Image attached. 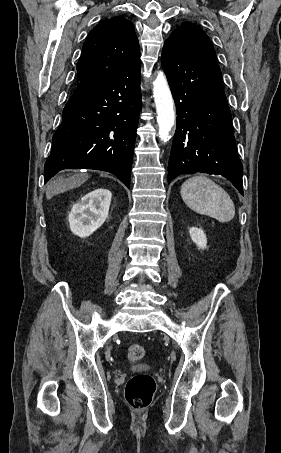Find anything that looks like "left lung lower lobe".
Segmentation results:
<instances>
[{"label":"left lung lower lobe","instance_id":"left-lung-lower-lobe-1","mask_svg":"<svg viewBox=\"0 0 281 453\" xmlns=\"http://www.w3.org/2000/svg\"><path fill=\"white\" fill-rule=\"evenodd\" d=\"M162 67L177 113L168 183L180 174H219L243 194V167L216 56L188 54L165 42Z\"/></svg>","mask_w":281,"mask_h":453}]
</instances>
